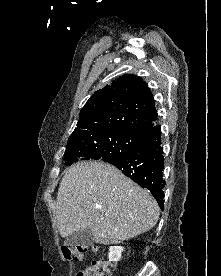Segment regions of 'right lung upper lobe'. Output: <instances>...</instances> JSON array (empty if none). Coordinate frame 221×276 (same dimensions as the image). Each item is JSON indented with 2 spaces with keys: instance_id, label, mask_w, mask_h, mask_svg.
Returning a JSON list of instances; mask_svg holds the SVG:
<instances>
[{
  "instance_id": "right-lung-upper-lobe-1",
  "label": "right lung upper lobe",
  "mask_w": 221,
  "mask_h": 276,
  "mask_svg": "<svg viewBox=\"0 0 221 276\" xmlns=\"http://www.w3.org/2000/svg\"><path fill=\"white\" fill-rule=\"evenodd\" d=\"M68 141L121 132L143 138L158 117L150 89L141 77L124 74L96 91L79 114Z\"/></svg>"
}]
</instances>
